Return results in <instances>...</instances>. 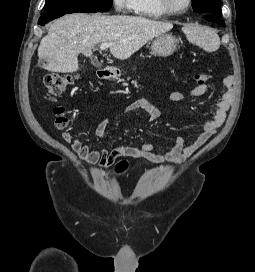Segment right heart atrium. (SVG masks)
I'll return each mask as SVG.
<instances>
[{"instance_id": "d8ad5b80", "label": "right heart atrium", "mask_w": 255, "mask_h": 272, "mask_svg": "<svg viewBox=\"0 0 255 272\" xmlns=\"http://www.w3.org/2000/svg\"><path fill=\"white\" fill-rule=\"evenodd\" d=\"M117 12L125 13L133 10V0H113Z\"/></svg>"}]
</instances>
